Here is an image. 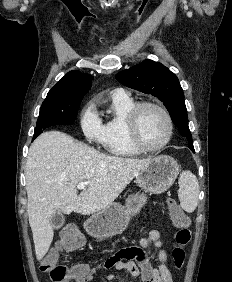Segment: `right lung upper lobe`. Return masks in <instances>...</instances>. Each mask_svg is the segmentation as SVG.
<instances>
[{"mask_svg":"<svg viewBox=\"0 0 232 282\" xmlns=\"http://www.w3.org/2000/svg\"><path fill=\"white\" fill-rule=\"evenodd\" d=\"M93 77L89 74H82L79 71L68 72L54 87L48 92L47 99L70 98L84 96L91 87Z\"/></svg>","mask_w":232,"mask_h":282,"instance_id":"right-lung-upper-lobe-1","label":"right lung upper lobe"}]
</instances>
